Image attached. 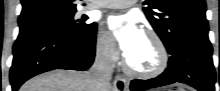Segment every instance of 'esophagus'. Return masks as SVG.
Returning a JSON list of instances; mask_svg holds the SVG:
<instances>
[{
  "label": "esophagus",
  "mask_w": 220,
  "mask_h": 91,
  "mask_svg": "<svg viewBox=\"0 0 220 91\" xmlns=\"http://www.w3.org/2000/svg\"><path fill=\"white\" fill-rule=\"evenodd\" d=\"M114 87L116 91H126L127 90V81L120 75H117L114 80Z\"/></svg>",
  "instance_id": "esophagus-1"
}]
</instances>
